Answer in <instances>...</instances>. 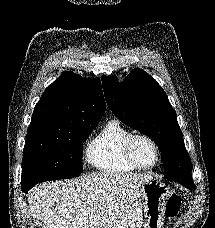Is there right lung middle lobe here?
I'll return each instance as SVG.
<instances>
[{
	"instance_id": "1",
	"label": "right lung middle lobe",
	"mask_w": 215,
	"mask_h": 228,
	"mask_svg": "<svg viewBox=\"0 0 215 228\" xmlns=\"http://www.w3.org/2000/svg\"><path fill=\"white\" fill-rule=\"evenodd\" d=\"M77 123L27 132L22 160L21 185L79 176L83 171V142L98 125Z\"/></svg>"
}]
</instances>
